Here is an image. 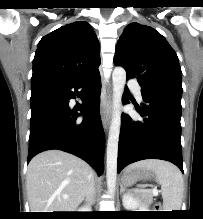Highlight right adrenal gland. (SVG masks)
<instances>
[{
    "mask_svg": "<svg viewBox=\"0 0 203 219\" xmlns=\"http://www.w3.org/2000/svg\"><path fill=\"white\" fill-rule=\"evenodd\" d=\"M87 201V200H86ZM94 200L91 201V202H88V205L90 206L91 204H93Z\"/></svg>",
    "mask_w": 203,
    "mask_h": 219,
    "instance_id": "right-adrenal-gland-1",
    "label": "right adrenal gland"
}]
</instances>
